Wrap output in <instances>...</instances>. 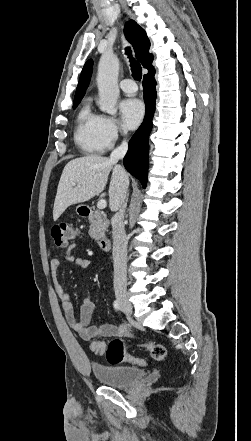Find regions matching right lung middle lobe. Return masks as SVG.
<instances>
[{"label":"right lung middle lobe","mask_w":251,"mask_h":441,"mask_svg":"<svg viewBox=\"0 0 251 441\" xmlns=\"http://www.w3.org/2000/svg\"><path fill=\"white\" fill-rule=\"evenodd\" d=\"M79 103H80V101L73 102V109H75L78 106Z\"/></svg>","instance_id":"right-lung-middle-lobe-1"}]
</instances>
